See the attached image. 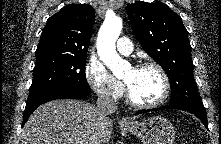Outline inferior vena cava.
Instances as JSON below:
<instances>
[{
	"label": "inferior vena cava",
	"instance_id": "inferior-vena-cava-1",
	"mask_svg": "<svg viewBox=\"0 0 221 144\" xmlns=\"http://www.w3.org/2000/svg\"><path fill=\"white\" fill-rule=\"evenodd\" d=\"M96 107L102 119L106 118L109 114L114 113L118 108L116 102L107 94L99 95Z\"/></svg>",
	"mask_w": 221,
	"mask_h": 144
}]
</instances>
